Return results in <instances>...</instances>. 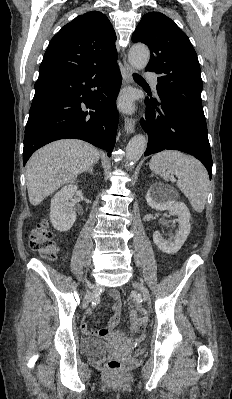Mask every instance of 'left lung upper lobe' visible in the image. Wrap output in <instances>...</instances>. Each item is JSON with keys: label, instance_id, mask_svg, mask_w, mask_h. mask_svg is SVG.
<instances>
[{"label": "left lung upper lobe", "instance_id": "5c2ea615", "mask_svg": "<svg viewBox=\"0 0 232 399\" xmlns=\"http://www.w3.org/2000/svg\"><path fill=\"white\" fill-rule=\"evenodd\" d=\"M132 41L142 42L150 49L146 71L159 75L158 96L176 101L206 122L201 102L200 66L187 35L166 15L149 12L142 17Z\"/></svg>", "mask_w": 232, "mask_h": 399}]
</instances>
